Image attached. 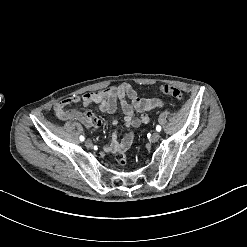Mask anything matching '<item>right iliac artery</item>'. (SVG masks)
Wrapping results in <instances>:
<instances>
[{
	"label": "right iliac artery",
	"instance_id": "1",
	"mask_svg": "<svg viewBox=\"0 0 247 247\" xmlns=\"http://www.w3.org/2000/svg\"><path fill=\"white\" fill-rule=\"evenodd\" d=\"M79 139H80V141H84L85 140L84 136H82V135L80 136Z\"/></svg>",
	"mask_w": 247,
	"mask_h": 247
}]
</instances>
